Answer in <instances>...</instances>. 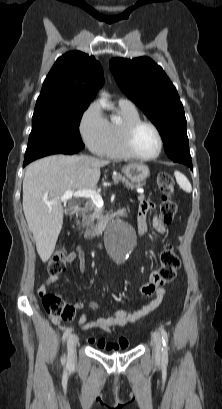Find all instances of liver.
Segmentation results:
<instances>
[{
    "label": "liver",
    "instance_id": "obj_1",
    "mask_svg": "<svg viewBox=\"0 0 222 409\" xmlns=\"http://www.w3.org/2000/svg\"><path fill=\"white\" fill-rule=\"evenodd\" d=\"M109 160L53 155L29 164L23 179V211L38 255L46 262L52 255L63 225L64 209L59 198L67 190H93L100 168ZM58 201L53 205L46 202Z\"/></svg>",
    "mask_w": 222,
    "mask_h": 409
}]
</instances>
